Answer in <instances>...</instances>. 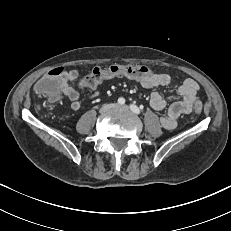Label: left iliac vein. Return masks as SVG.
I'll return each mask as SVG.
<instances>
[{
  "label": "left iliac vein",
  "mask_w": 231,
  "mask_h": 231,
  "mask_svg": "<svg viewBox=\"0 0 231 231\" xmlns=\"http://www.w3.org/2000/svg\"><path fill=\"white\" fill-rule=\"evenodd\" d=\"M114 108L120 109V110H123V111H129V107L126 106V105H115Z\"/></svg>",
  "instance_id": "obj_1"
}]
</instances>
